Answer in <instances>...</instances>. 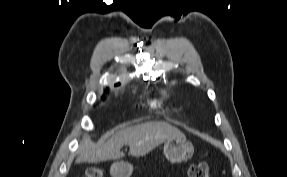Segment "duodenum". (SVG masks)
<instances>
[{
  "label": "duodenum",
  "instance_id": "duodenum-1",
  "mask_svg": "<svg viewBox=\"0 0 287 177\" xmlns=\"http://www.w3.org/2000/svg\"><path fill=\"white\" fill-rule=\"evenodd\" d=\"M118 174L120 175L124 174L123 170H118Z\"/></svg>",
  "mask_w": 287,
  "mask_h": 177
}]
</instances>
